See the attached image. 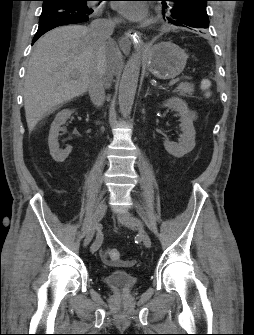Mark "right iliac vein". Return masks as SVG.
I'll return each instance as SVG.
<instances>
[{"label":"right iliac vein","instance_id":"63e3f726","mask_svg":"<svg viewBox=\"0 0 254 335\" xmlns=\"http://www.w3.org/2000/svg\"><path fill=\"white\" fill-rule=\"evenodd\" d=\"M107 210V206L106 203L104 201H101L98 203L95 213H94V217H93V225L91 230L87 233L86 237L83 240V247L86 248L92 241L95 232H96V227L99 224V222L102 220V218L104 217L105 213Z\"/></svg>","mask_w":254,"mask_h":335}]
</instances>
